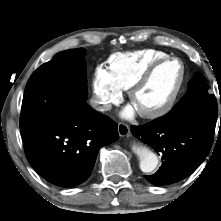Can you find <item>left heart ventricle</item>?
<instances>
[{
  "instance_id": "1",
  "label": "left heart ventricle",
  "mask_w": 221,
  "mask_h": 221,
  "mask_svg": "<svg viewBox=\"0 0 221 221\" xmlns=\"http://www.w3.org/2000/svg\"><path fill=\"white\" fill-rule=\"evenodd\" d=\"M182 68L179 62L161 66L150 81L134 96L132 104L138 111L159 108L174 93L181 79Z\"/></svg>"
}]
</instances>
